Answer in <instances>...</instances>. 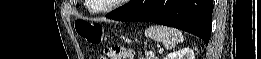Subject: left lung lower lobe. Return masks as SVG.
<instances>
[{"label": "left lung lower lobe", "instance_id": "1", "mask_svg": "<svg viewBox=\"0 0 261 59\" xmlns=\"http://www.w3.org/2000/svg\"><path fill=\"white\" fill-rule=\"evenodd\" d=\"M212 3V0H131L107 17L174 27L194 34L208 44L212 27Z\"/></svg>", "mask_w": 261, "mask_h": 59}]
</instances>
